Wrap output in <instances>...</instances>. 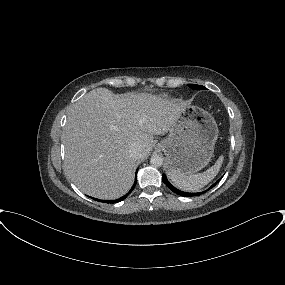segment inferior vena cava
Here are the masks:
<instances>
[{
	"label": "inferior vena cava",
	"mask_w": 285,
	"mask_h": 285,
	"mask_svg": "<svg viewBox=\"0 0 285 285\" xmlns=\"http://www.w3.org/2000/svg\"><path fill=\"white\" fill-rule=\"evenodd\" d=\"M141 153V147L138 144H132L130 147V154L131 156L138 158Z\"/></svg>",
	"instance_id": "602c4592"
}]
</instances>
